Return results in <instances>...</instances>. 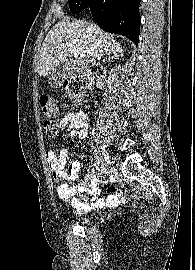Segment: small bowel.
I'll return each instance as SVG.
<instances>
[{"instance_id": "c3829d8e", "label": "small bowel", "mask_w": 195, "mask_h": 270, "mask_svg": "<svg viewBox=\"0 0 195 270\" xmlns=\"http://www.w3.org/2000/svg\"><path fill=\"white\" fill-rule=\"evenodd\" d=\"M60 126L65 127L70 136H76L79 139H84L89 133L88 117L83 111H71L63 115L60 120ZM47 161L50 171L54 179L58 182L60 178L70 177L77 180L80 177V163L72 161L69 165L68 171H65V166L68 159V151L66 148L60 150L50 149L46 153ZM59 198L70 204V206L77 213H86L92 207L99 208L103 206L117 207L124 195L116 188L109 186L107 188L108 196L106 199L99 197L100 189L94 186V181L85 180L72 187H67L62 190L60 187L57 189ZM93 195L92 203L90 204L87 199V194ZM78 194L79 198L75 195Z\"/></svg>"}]
</instances>
